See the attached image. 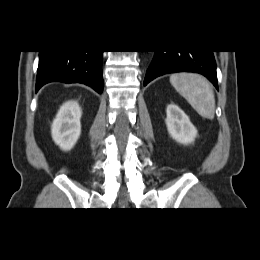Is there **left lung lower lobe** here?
<instances>
[{
	"label": "left lung lower lobe",
	"mask_w": 260,
	"mask_h": 260,
	"mask_svg": "<svg viewBox=\"0 0 260 260\" xmlns=\"http://www.w3.org/2000/svg\"><path fill=\"white\" fill-rule=\"evenodd\" d=\"M195 72L207 77L218 89L216 63L212 51H155L146 72L144 86L158 76L175 72Z\"/></svg>",
	"instance_id": "1"
}]
</instances>
